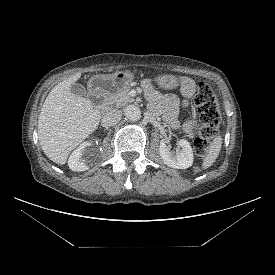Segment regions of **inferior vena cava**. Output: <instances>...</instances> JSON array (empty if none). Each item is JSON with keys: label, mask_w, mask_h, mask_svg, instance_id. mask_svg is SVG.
<instances>
[{"label": "inferior vena cava", "mask_w": 275, "mask_h": 275, "mask_svg": "<svg viewBox=\"0 0 275 275\" xmlns=\"http://www.w3.org/2000/svg\"><path fill=\"white\" fill-rule=\"evenodd\" d=\"M121 117L122 113L120 110L112 109L104 115L103 122L105 125L113 126L120 121Z\"/></svg>", "instance_id": "obj_1"}]
</instances>
